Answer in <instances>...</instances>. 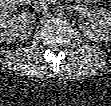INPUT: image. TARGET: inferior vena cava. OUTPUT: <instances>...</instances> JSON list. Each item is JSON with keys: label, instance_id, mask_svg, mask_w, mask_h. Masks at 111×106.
<instances>
[{"label": "inferior vena cava", "instance_id": "602c4592", "mask_svg": "<svg viewBox=\"0 0 111 106\" xmlns=\"http://www.w3.org/2000/svg\"><path fill=\"white\" fill-rule=\"evenodd\" d=\"M33 9L36 12L46 13L48 12V3L46 0H35L33 2Z\"/></svg>", "mask_w": 111, "mask_h": 106}]
</instances>
